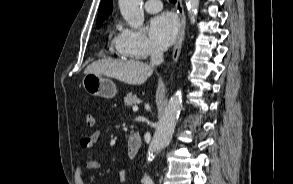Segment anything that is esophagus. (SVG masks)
<instances>
[{
  "label": "esophagus",
  "mask_w": 293,
  "mask_h": 184,
  "mask_svg": "<svg viewBox=\"0 0 293 184\" xmlns=\"http://www.w3.org/2000/svg\"><path fill=\"white\" fill-rule=\"evenodd\" d=\"M176 11H177L179 19H180V30H179V34H178L176 43L173 48V53H172V60L174 63H176L179 58L182 43H183V40L185 37L186 17H185V13H184L182 0H177Z\"/></svg>",
  "instance_id": "obj_1"
}]
</instances>
